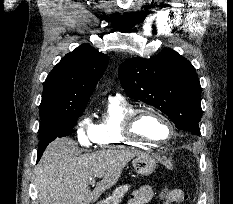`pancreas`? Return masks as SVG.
<instances>
[{
  "instance_id": "1",
  "label": "pancreas",
  "mask_w": 233,
  "mask_h": 204,
  "mask_svg": "<svg viewBox=\"0 0 233 204\" xmlns=\"http://www.w3.org/2000/svg\"><path fill=\"white\" fill-rule=\"evenodd\" d=\"M129 189L130 185L127 184L116 187L110 201H108L107 204H119L122 201V198L124 197L125 193H127Z\"/></svg>"
}]
</instances>
